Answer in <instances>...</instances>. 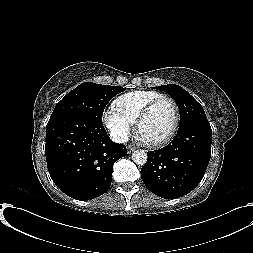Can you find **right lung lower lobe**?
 Instances as JSON below:
<instances>
[{
	"label": "right lung lower lobe",
	"mask_w": 253,
	"mask_h": 253,
	"mask_svg": "<svg viewBox=\"0 0 253 253\" xmlns=\"http://www.w3.org/2000/svg\"><path fill=\"white\" fill-rule=\"evenodd\" d=\"M45 154L50 176L66 195L90 200L104 194L113 164L127 155L102 125L80 114L51 117L46 126Z\"/></svg>",
	"instance_id": "98d812e1"
}]
</instances>
